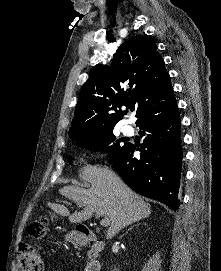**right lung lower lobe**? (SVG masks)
<instances>
[{
  "label": "right lung lower lobe",
  "mask_w": 221,
  "mask_h": 271,
  "mask_svg": "<svg viewBox=\"0 0 221 271\" xmlns=\"http://www.w3.org/2000/svg\"><path fill=\"white\" fill-rule=\"evenodd\" d=\"M136 125L143 130L144 137L138 149L140 157H133L135 146L128 144L112 163L135 192L177 209L182 146L176 100L162 110L143 116Z\"/></svg>",
  "instance_id": "1"
}]
</instances>
